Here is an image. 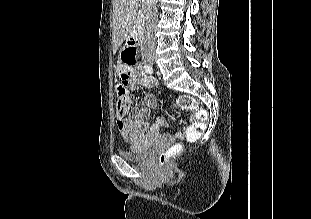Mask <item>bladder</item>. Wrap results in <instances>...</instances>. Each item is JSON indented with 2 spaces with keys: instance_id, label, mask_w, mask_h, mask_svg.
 I'll return each mask as SVG.
<instances>
[{
  "instance_id": "1",
  "label": "bladder",
  "mask_w": 311,
  "mask_h": 219,
  "mask_svg": "<svg viewBox=\"0 0 311 219\" xmlns=\"http://www.w3.org/2000/svg\"><path fill=\"white\" fill-rule=\"evenodd\" d=\"M150 153V145L133 143L128 149H122L119 154L122 158L129 161H142Z\"/></svg>"
}]
</instances>
